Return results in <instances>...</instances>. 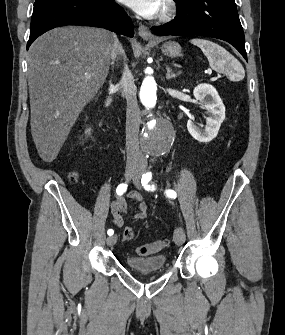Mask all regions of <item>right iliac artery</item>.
Wrapping results in <instances>:
<instances>
[{
    "label": "right iliac artery",
    "mask_w": 285,
    "mask_h": 335,
    "mask_svg": "<svg viewBox=\"0 0 285 335\" xmlns=\"http://www.w3.org/2000/svg\"><path fill=\"white\" fill-rule=\"evenodd\" d=\"M126 189H127V184H120V185H118V187L116 189L117 195H120V196L123 195L125 193ZM113 233H114V231L112 229H109L107 231V234L109 236L113 235Z\"/></svg>",
    "instance_id": "1"
}]
</instances>
